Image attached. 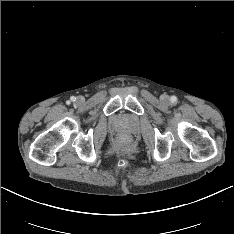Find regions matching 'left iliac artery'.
<instances>
[{"mask_svg":"<svg viewBox=\"0 0 234 234\" xmlns=\"http://www.w3.org/2000/svg\"><path fill=\"white\" fill-rule=\"evenodd\" d=\"M171 102L173 104H176L177 103V97L176 96H171Z\"/></svg>","mask_w":234,"mask_h":234,"instance_id":"1","label":"left iliac artery"}]
</instances>
